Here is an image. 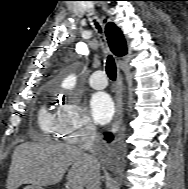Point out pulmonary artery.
I'll use <instances>...</instances> for the list:
<instances>
[{"mask_svg":"<svg viewBox=\"0 0 188 189\" xmlns=\"http://www.w3.org/2000/svg\"><path fill=\"white\" fill-rule=\"evenodd\" d=\"M89 84L94 89H103L107 86L105 72L98 70L93 72L89 77Z\"/></svg>","mask_w":188,"mask_h":189,"instance_id":"pulmonary-artery-1","label":"pulmonary artery"}]
</instances>
